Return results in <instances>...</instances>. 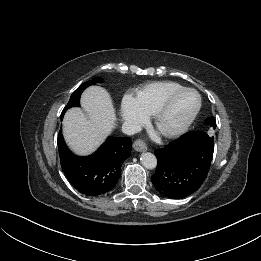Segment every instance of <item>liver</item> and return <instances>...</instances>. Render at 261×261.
<instances>
[{"instance_id": "6515ba94", "label": "liver", "mask_w": 261, "mask_h": 261, "mask_svg": "<svg viewBox=\"0 0 261 261\" xmlns=\"http://www.w3.org/2000/svg\"><path fill=\"white\" fill-rule=\"evenodd\" d=\"M81 106L69 109L63 120V135L70 149L78 155L95 151L115 126L116 114L108 92L100 86L88 87L81 96Z\"/></svg>"}]
</instances>
